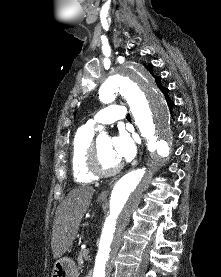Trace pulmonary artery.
Here are the masks:
<instances>
[{"label": "pulmonary artery", "mask_w": 221, "mask_h": 277, "mask_svg": "<svg viewBox=\"0 0 221 277\" xmlns=\"http://www.w3.org/2000/svg\"><path fill=\"white\" fill-rule=\"evenodd\" d=\"M126 108L122 105H109L100 110L86 126L94 128L98 124H110L126 118Z\"/></svg>", "instance_id": "pulmonary-artery-1"}]
</instances>
